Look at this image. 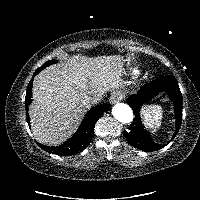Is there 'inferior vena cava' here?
Wrapping results in <instances>:
<instances>
[{
    "mask_svg": "<svg viewBox=\"0 0 200 200\" xmlns=\"http://www.w3.org/2000/svg\"><path fill=\"white\" fill-rule=\"evenodd\" d=\"M97 102H98L97 96L91 97V96H88V95H84L83 98H82V104L84 106H90L91 104H95Z\"/></svg>",
    "mask_w": 200,
    "mask_h": 200,
    "instance_id": "obj_1",
    "label": "inferior vena cava"
}]
</instances>
